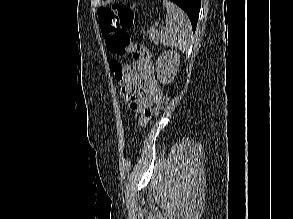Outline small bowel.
<instances>
[{"mask_svg": "<svg viewBox=\"0 0 293 219\" xmlns=\"http://www.w3.org/2000/svg\"><path fill=\"white\" fill-rule=\"evenodd\" d=\"M120 93L128 107L140 113L139 124L146 126L151 119V105L162 98V91L155 78L154 65L147 61L136 70L128 69L121 80Z\"/></svg>", "mask_w": 293, "mask_h": 219, "instance_id": "small-bowel-1", "label": "small bowel"}]
</instances>
